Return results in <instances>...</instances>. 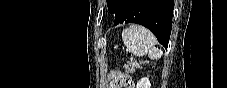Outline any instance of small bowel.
Listing matches in <instances>:
<instances>
[{
  "instance_id": "c3829d8e",
  "label": "small bowel",
  "mask_w": 227,
  "mask_h": 88,
  "mask_svg": "<svg viewBox=\"0 0 227 88\" xmlns=\"http://www.w3.org/2000/svg\"><path fill=\"white\" fill-rule=\"evenodd\" d=\"M127 81H131L130 77L127 75H120L110 81L109 88H121Z\"/></svg>"
}]
</instances>
